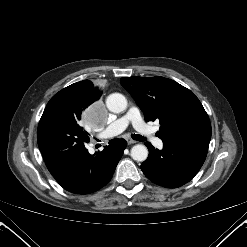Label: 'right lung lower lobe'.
Here are the masks:
<instances>
[{"label": "right lung lower lobe", "instance_id": "98d812e1", "mask_svg": "<svg viewBox=\"0 0 247 247\" xmlns=\"http://www.w3.org/2000/svg\"><path fill=\"white\" fill-rule=\"evenodd\" d=\"M37 140L50 173L75 194H89L105 186L127 145L124 139L116 138L103 151L90 155L85 148L87 133L77 122L54 114L42 115Z\"/></svg>", "mask_w": 247, "mask_h": 247}]
</instances>
